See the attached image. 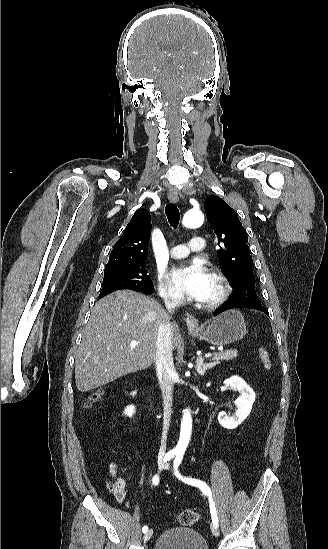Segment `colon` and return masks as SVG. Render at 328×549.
<instances>
[{"mask_svg": "<svg viewBox=\"0 0 328 549\" xmlns=\"http://www.w3.org/2000/svg\"><path fill=\"white\" fill-rule=\"evenodd\" d=\"M257 353L264 368L267 370L270 369L271 360H270L269 352L265 348L260 347L258 348ZM101 394H102L101 391L93 392L91 395L88 396L86 400V405L89 406L90 404L98 400ZM199 520H200L199 513L189 509L182 511L178 516V521L183 526L193 525L197 523Z\"/></svg>", "mask_w": 328, "mask_h": 549, "instance_id": "obj_1", "label": "colon"}]
</instances>
